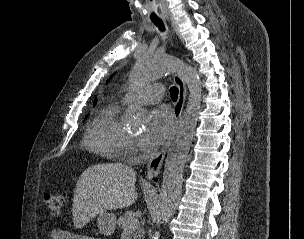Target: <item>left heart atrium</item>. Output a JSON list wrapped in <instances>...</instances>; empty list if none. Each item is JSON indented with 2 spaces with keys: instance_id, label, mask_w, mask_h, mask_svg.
<instances>
[{
  "instance_id": "39dd6f15",
  "label": "left heart atrium",
  "mask_w": 304,
  "mask_h": 239,
  "mask_svg": "<svg viewBox=\"0 0 304 239\" xmlns=\"http://www.w3.org/2000/svg\"><path fill=\"white\" fill-rule=\"evenodd\" d=\"M172 127L170 112L164 108H158L152 112L148 127L140 136V145L145 151L157 149L167 137Z\"/></svg>"
}]
</instances>
